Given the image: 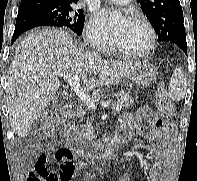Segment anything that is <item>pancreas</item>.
Listing matches in <instances>:
<instances>
[{"instance_id":"1","label":"pancreas","mask_w":197,"mask_h":181,"mask_svg":"<svg viewBox=\"0 0 197 181\" xmlns=\"http://www.w3.org/2000/svg\"><path fill=\"white\" fill-rule=\"evenodd\" d=\"M118 97L119 98L117 100V104L121 105L124 108H128V107H130L134 104L133 98L126 93H120L118 95ZM80 118L82 120V116H80ZM90 120H92V118H90ZM90 120H89V117H88L86 124L83 125L81 127V129L76 127L74 124L71 126V129L77 135L78 139L91 140L94 137V135H93L94 131H93V127L91 125Z\"/></svg>"}]
</instances>
